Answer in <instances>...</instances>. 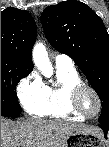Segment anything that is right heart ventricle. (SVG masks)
<instances>
[{
  "label": "right heart ventricle",
  "mask_w": 109,
  "mask_h": 147,
  "mask_svg": "<svg viewBox=\"0 0 109 147\" xmlns=\"http://www.w3.org/2000/svg\"><path fill=\"white\" fill-rule=\"evenodd\" d=\"M83 83L74 68L56 67V81L45 85L46 99L40 103L26 104L25 110L35 117L82 122L86 118L77 114L70 105L73 88Z\"/></svg>",
  "instance_id": "1"
}]
</instances>
